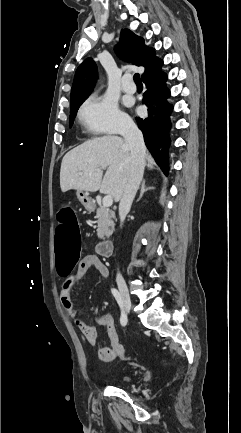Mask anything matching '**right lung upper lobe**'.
Listing matches in <instances>:
<instances>
[{"label": "right lung upper lobe", "instance_id": "right-lung-upper-lobe-1", "mask_svg": "<svg viewBox=\"0 0 241 433\" xmlns=\"http://www.w3.org/2000/svg\"><path fill=\"white\" fill-rule=\"evenodd\" d=\"M116 52L137 66L145 67L142 79L157 71L163 64L154 57V49L145 46L144 39L129 29H122ZM97 76V67L91 58L84 60L78 67L71 90V108L79 101L85 100L93 90Z\"/></svg>", "mask_w": 241, "mask_h": 433}]
</instances>
